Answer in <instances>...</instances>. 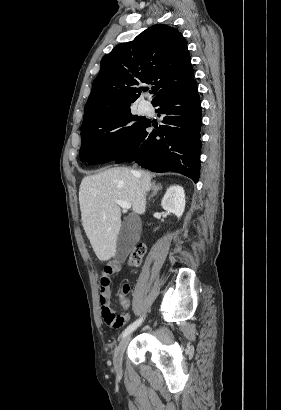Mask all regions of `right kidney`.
Here are the masks:
<instances>
[{"label":"right kidney","instance_id":"right-kidney-1","mask_svg":"<svg viewBox=\"0 0 281 410\" xmlns=\"http://www.w3.org/2000/svg\"><path fill=\"white\" fill-rule=\"evenodd\" d=\"M161 206L164 210L180 218L185 209V193L183 187L179 185L169 187L161 201Z\"/></svg>","mask_w":281,"mask_h":410}]
</instances>
